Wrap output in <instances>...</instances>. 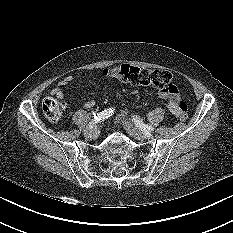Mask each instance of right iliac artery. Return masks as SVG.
<instances>
[{
  "label": "right iliac artery",
  "instance_id": "82829eb1",
  "mask_svg": "<svg viewBox=\"0 0 233 233\" xmlns=\"http://www.w3.org/2000/svg\"><path fill=\"white\" fill-rule=\"evenodd\" d=\"M114 110L115 109H113V108H109V109H106L104 111H101V112L95 114L90 122L89 127H92V125L96 124L97 122L105 120L108 117L112 116V114L114 113Z\"/></svg>",
  "mask_w": 233,
  "mask_h": 233
}]
</instances>
